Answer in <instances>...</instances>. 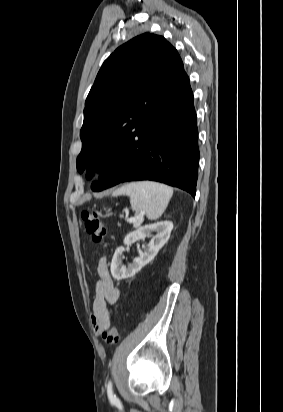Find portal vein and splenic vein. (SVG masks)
Segmentation results:
<instances>
[{
  "instance_id": "1",
  "label": "portal vein and splenic vein",
  "mask_w": 283,
  "mask_h": 412,
  "mask_svg": "<svg viewBox=\"0 0 283 412\" xmlns=\"http://www.w3.org/2000/svg\"><path fill=\"white\" fill-rule=\"evenodd\" d=\"M140 216H136V217H131V218H126V221L128 222V223H132V224H134V225H137L138 223H139V221H140Z\"/></svg>"
}]
</instances>
